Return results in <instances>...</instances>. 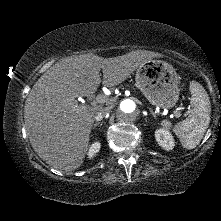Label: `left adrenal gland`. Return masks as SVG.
Wrapping results in <instances>:
<instances>
[{
	"label": "left adrenal gland",
	"instance_id": "1",
	"mask_svg": "<svg viewBox=\"0 0 221 221\" xmlns=\"http://www.w3.org/2000/svg\"><path fill=\"white\" fill-rule=\"evenodd\" d=\"M149 110H150L151 114L155 117V113L153 112V110L152 109H149Z\"/></svg>",
	"mask_w": 221,
	"mask_h": 221
}]
</instances>
